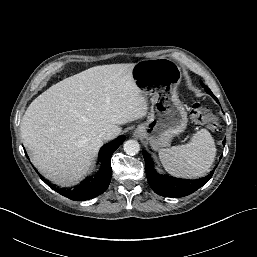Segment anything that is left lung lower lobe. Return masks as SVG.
<instances>
[{
  "label": "left lung lower lobe",
  "mask_w": 257,
  "mask_h": 257,
  "mask_svg": "<svg viewBox=\"0 0 257 257\" xmlns=\"http://www.w3.org/2000/svg\"><path fill=\"white\" fill-rule=\"evenodd\" d=\"M212 97L216 100V102L219 103L218 99L214 95H212ZM223 144L225 145V141L223 142ZM143 157L145 159L146 175L149 185L156 194L161 196L172 198L187 196L202 187L212 177L214 173L213 170L205 178L197 180H182L166 177L163 175H159L154 170L153 162L145 151H143Z\"/></svg>",
  "instance_id": "0a47b994"
}]
</instances>
